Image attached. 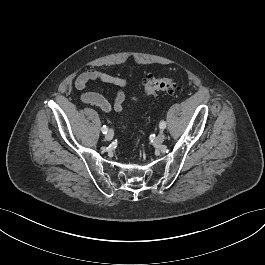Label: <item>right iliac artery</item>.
Here are the masks:
<instances>
[{
  "mask_svg": "<svg viewBox=\"0 0 265 265\" xmlns=\"http://www.w3.org/2000/svg\"><path fill=\"white\" fill-rule=\"evenodd\" d=\"M101 131L103 134H106L108 132V127L106 125H104L102 128H101Z\"/></svg>",
  "mask_w": 265,
  "mask_h": 265,
  "instance_id": "82829eb1",
  "label": "right iliac artery"
}]
</instances>
